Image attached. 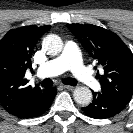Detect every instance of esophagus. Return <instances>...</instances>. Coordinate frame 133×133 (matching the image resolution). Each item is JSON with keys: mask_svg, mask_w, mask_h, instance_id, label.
Returning a JSON list of instances; mask_svg holds the SVG:
<instances>
[{"mask_svg": "<svg viewBox=\"0 0 133 133\" xmlns=\"http://www.w3.org/2000/svg\"><path fill=\"white\" fill-rule=\"evenodd\" d=\"M65 89H67V90H74L75 89V87L74 86H71V85H64L63 86Z\"/></svg>", "mask_w": 133, "mask_h": 133, "instance_id": "obj_1", "label": "esophagus"}]
</instances>
